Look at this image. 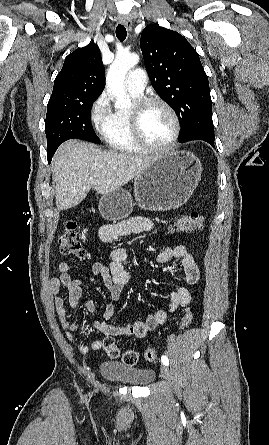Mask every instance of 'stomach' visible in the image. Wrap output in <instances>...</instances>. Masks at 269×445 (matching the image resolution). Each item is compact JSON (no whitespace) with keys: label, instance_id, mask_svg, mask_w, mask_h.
Wrapping results in <instances>:
<instances>
[{"label":"stomach","instance_id":"0dacf381","mask_svg":"<svg viewBox=\"0 0 269 445\" xmlns=\"http://www.w3.org/2000/svg\"><path fill=\"white\" fill-rule=\"evenodd\" d=\"M202 165L191 153L170 151L158 156L134 179L137 205L149 211H169L184 205L201 178ZM131 194L118 188L102 195L101 216L108 221L127 218L133 211Z\"/></svg>","mask_w":269,"mask_h":445}]
</instances>
